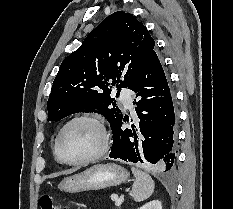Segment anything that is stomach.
<instances>
[{
  "mask_svg": "<svg viewBox=\"0 0 233 209\" xmlns=\"http://www.w3.org/2000/svg\"><path fill=\"white\" fill-rule=\"evenodd\" d=\"M129 173L119 165L96 164L83 172L64 178L59 188L66 192L75 193L88 190H100L124 183Z\"/></svg>",
  "mask_w": 233,
  "mask_h": 209,
  "instance_id": "0dacf381",
  "label": "stomach"
}]
</instances>
